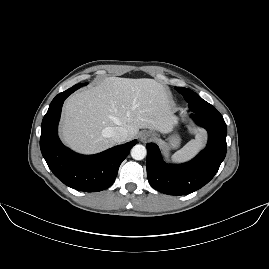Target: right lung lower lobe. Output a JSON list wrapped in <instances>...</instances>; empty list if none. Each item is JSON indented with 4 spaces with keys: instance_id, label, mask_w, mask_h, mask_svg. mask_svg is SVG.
<instances>
[{
    "instance_id": "obj_1",
    "label": "right lung lower lobe",
    "mask_w": 269,
    "mask_h": 269,
    "mask_svg": "<svg viewBox=\"0 0 269 269\" xmlns=\"http://www.w3.org/2000/svg\"><path fill=\"white\" fill-rule=\"evenodd\" d=\"M86 84H76L53 99L42 121L40 148L51 171L65 185L78 191L97 192L113 184L120 164L136 140L95 155H80L63 146L57 135L63 102Z\"/></svg>"
}]
</instances>
